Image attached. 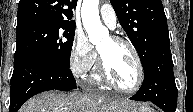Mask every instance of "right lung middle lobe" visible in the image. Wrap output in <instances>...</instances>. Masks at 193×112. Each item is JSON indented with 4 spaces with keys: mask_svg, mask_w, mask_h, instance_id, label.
I'll return each instance as SVG.
<instances>
[{
    "mask_svg": "<svg viewBox=\"0 0 193 112\" xmlns=\"http://www.w3.org/2000/svg\"><path fill=\"white\" fill-rule=\"evenodd\" d=\"M75 24L37 23L16 29L14 66L35 57H48L67 67Z\"/></svg>",
    "mask_w": 193,
    "mask_h": 112,
    "instance_id": "right-lung-middle-lobe-1",
    "label": "right lung middle lobe"
}]
</instances>
